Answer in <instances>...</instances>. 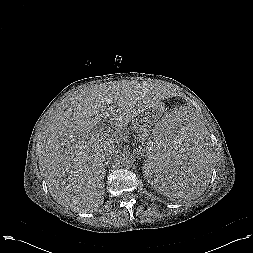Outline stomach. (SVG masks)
<instances>
[{
	"label": "stomach",
	"mask_w": 253,
	"mask_h": 253,
	"mask_svg": "<svg viewBox=\"0 0 253 253\" xmlns=\"http://www.w3.org/2000/svg\"><path fill=\"white\" fill-rule=\"evenodd\" d=\"M161 117V110L158 106L152 105L144 109L140 114V119L146 124H156ZM163 119V118H162Z\"/></svg>",
	"instance_id": "stomach-1"
}]
</instances>
